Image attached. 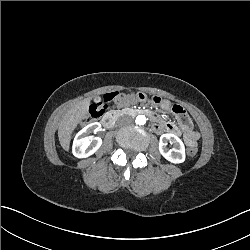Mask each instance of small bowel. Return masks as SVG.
Returning <instances> with one entry per match:
<instances>
[{"mask_svg":"<svg viewBox=\"0 0 250 250\" xmlns=\"http://www.w3.org/2000/svg\"><path fill=\"white\" fill-rule=\"evenodd\" d=\"M136 98H135V94H130V95H126L125 99L121 102H118L119 105H124V104H128V103H132L135 102ZM160 105L163 109L165 110H170L172 108V105L170 103V101L168 100H162L160 101ZM190 121L188 123V127H186V134L188 136V139H193V140H197L198 138V134L194 131H192V129L190 128ZM154 128L158 131L163 130L164 128L170 129V130H174V131H178L179 127L175 124H168V125H164V124H155Z\"/></svg>","mask_w":250,"mask_h":250,"instance_id":"1","label":"small bowel"}]
</instances>
